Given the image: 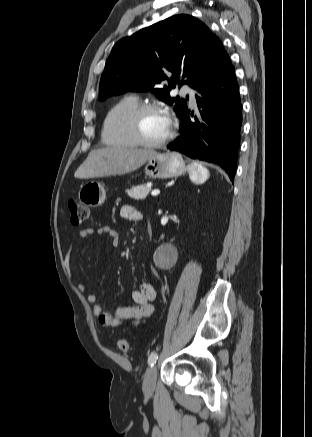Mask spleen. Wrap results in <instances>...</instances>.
<instances>
[{
	"instance_id": "3e777b00",
	"label": "spleen",
	"mask_w": 312,
	"mask_h": 437,
	"mask_svg": "<svg viewBox=\"0 0 312 437\" xmlns=\"http://www.w3.org/2000/svg\"><path fill=\"white\" fill-rule=\"evenodd\" d=\"M189 177L196 184L204 183L209 177V171L198 162H191L187 165Z\"/></svg>"
}]
</instances>
